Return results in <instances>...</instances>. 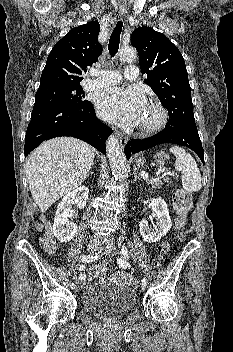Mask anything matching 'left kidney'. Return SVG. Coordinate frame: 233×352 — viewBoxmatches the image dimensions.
<instances>
[{"instance_id":"left-kidney-1","label":"left kidney","mask_w":233,"mask_h":352,"mask_svg":"<svg viewBox=\"0 0 233 352\" xmlns=\"http://www.w3.org/2000/svg\"><path fill=\"white\" fill-rule=\"evenodd\" d=\"M152 217L156 220L153 224V228L149 227L148 221L142 219L139 224L140 233L144 241L148 243H154L159 241L172 226V222L169 216V211L166 202L161 199H153L151 202Z\"/></svg>"}]
</instances>
